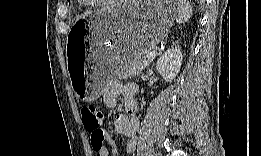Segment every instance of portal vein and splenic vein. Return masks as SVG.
<instances>
[{
  "label": "portal vein and splenic vein",
  "instance_id": "portal-vein-and-splenic-vein-1",
  "mask_svg": "<svg viewBox=\"0 0 261 156\" xmlns=\"http://www.w3.org/2000/svg\"><path fill=\"white\" fill-rule=\"evenodd\" d=\"M156 55H157V51H152V52L148 53V54L144 57V59H154V58L156 57Z\"/></svg>",
  "mask_w": 261,
  "mask_h": 156
}]
</instances>
